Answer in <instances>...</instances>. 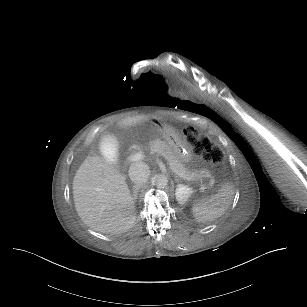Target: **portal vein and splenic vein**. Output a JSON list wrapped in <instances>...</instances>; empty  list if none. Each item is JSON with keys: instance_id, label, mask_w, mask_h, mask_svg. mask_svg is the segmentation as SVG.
Returning a JSON list of instances; mask_svg holds the SVG:
<instances>
[{"instance_id": "portal-vein-and-splenic-vein-1", "label": "portal vein and splenic vein", "mask_w": 307, "mask_h": 307, "mask_svg": "<svg viewBox=\"0 0 307 307\" xmlns=\"http://www.w3.org/2000/svg\"><path fill=\"white\" fill-rule=\"evenodd\" d=\"M144 156H145V152L141 149H138L136 152L130 154L129 159L130 161L135 162L137 160H141ZM196 182L199 184V187L202 190L205 188L201 180L199 181L197 180Z\"/></svg>"}]
</instances>
